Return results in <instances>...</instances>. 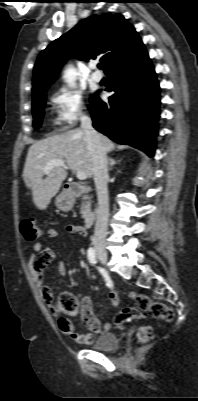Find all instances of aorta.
I'll return each mask as SVG.
<instances>
[{
  "label": "aorta",
  "instance_id": "aorta-1",
  "mask_svg": "<svg viewBox=\"0 0 198 401\" xmlns=\"http://www.w3.org/2000/svg\"><path fill=\"white\" fill-rule=\"evenodd\" d=\"M77 71L73 66H68L64 72L63 78L70 87L76 84Z\"/></svg>",
  "mask_w": 198,
  "mask_h": 401
}]
</instances>
